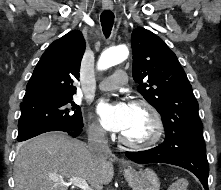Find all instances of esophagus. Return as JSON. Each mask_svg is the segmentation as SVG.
I'll list each match as a JSON object with an SVG mask.
<instances>
[{
	"instance_id": "1",
	"label": "esophagus",
	"mask_w": 221,
	"mask_h": 190,
	"mask_svg": "<svg viewBox=\"0 0 221 190\" xmlns=\"http://www.w3.org/2000/svg\"><path fill=\"white\" fill-rule=\"evenodd\" d=\"M103 8L106 10H112L113 9V4L110 0H104L103 1Z\"/></svg>"
}]
</instances>
